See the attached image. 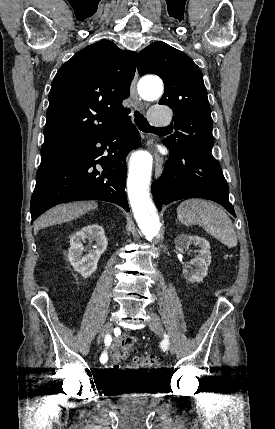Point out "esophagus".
<instances>
[{
    "label": "esophagus",
    "mask_w": 275,
    "mask_h": 429,
    "mask_svg": "<svg viewBox=\"0 0 275 429\" xmlns=\"http://www.w3.org/2000/svg\"><path fill=\"white\" fill-rule=\"evenodd\" d=\"M137 81H138V72L136 71L134 79L131 83L130 93L135 105L138 106L140 109H143L145 107V103L141 100V98L137 93V88H136ZM162 172H163V158L158 152H155V176L157 178L160 177Z\"/></svg>",
    "instance_id": "34e87169"
}]
</instances>
